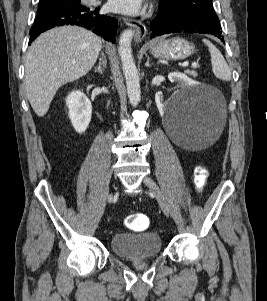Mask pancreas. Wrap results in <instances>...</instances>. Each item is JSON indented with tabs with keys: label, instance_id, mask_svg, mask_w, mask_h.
Masks as SVG:
<instances>
[{
	"label": "pancreas",
	"instance_id": "pancreas-1",
	"mask_svg": "<svg viewBox=\"0 0 267 301\" xmlns=\"http://www.w3.org/2000/svg\"><path fill=\"white\" fill-rule=\"evenodd\" d=\"M187 74L194 76V77L197 75V73L195 71H187Z\"/></svg>",
	"mask_w": 267,
	"mask_h": 301
}]
</instances>
